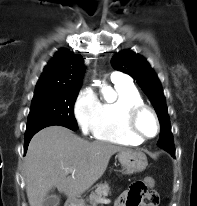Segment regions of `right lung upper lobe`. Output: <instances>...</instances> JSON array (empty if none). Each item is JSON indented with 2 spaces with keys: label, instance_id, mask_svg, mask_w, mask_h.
<instances>
[{
  "label": "right lung upper lobe",
  "instance_id": "obj_1",
  "mask_svg": "<svg viewBox=\"0 0 197 206\" xmlns=\"http://www.w3.org/2000/svg\"><path fill=\"white\" fill-rule=\"evenodd\" d=\"M82 62V56L61 49L44 68L35 91L79 90L84 70Z\"/></svg>",
  "mask_w": 197,
  "mask_h": 206
}]
</instances>
